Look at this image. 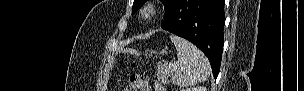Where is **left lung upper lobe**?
<instances>
[{"label": "left lung upper lobe", "mask_w": 304, "mask_h": 91, "mask_svg": "<svg viewBox=\"0 0 304 91\" xmlns=\"http://www.w3.org/2000/svg\"><path fill=\"white\" fill-rule=\"evenodd\" d=\"M146 1L147 0H134L132 14H134L140 7H142ZM161 2L164 4L166 17L177 2V0H161Z\"/></svg>", "instance_id": "left-lung-upper-lobe-1"}]
</instances>
